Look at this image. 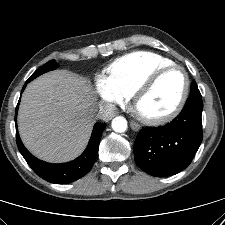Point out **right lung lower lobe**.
<instances>
[{"label":"right lung lower lobe","instance_id":"1","mask_svg":"<svg viewBox=\"0 0 225 225\" xmlns=\"http://www.w3.org/2000/svg\"><path fill=\"white\" fill-rule=\"evenodd\" d=\"M28 82H30V80H27L26 84ZM26 84L23 86L22 92L26 87ZM18 105L16 108L15 122L17 118ZM105 127V123H96L91 139L84 153L76 160L64 164L46 163L31 155V153L22 144L17 128L16 142L20 153L38 176L51 183L67 184L80 179L91 170L98 154L101 134Z\"/></svg>","mask_w":225,"mask_h":225}]
</instances>
